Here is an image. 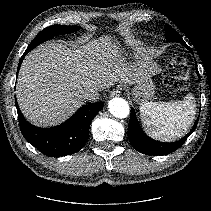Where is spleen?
Masks as SVG:
<instances>
[{
  "label": "spleen",
  "instance_id": "obj_1",
  "mask_svg": "<svg viewBox=\"0 0 211 211\" xmlns=\"http://www.w3.org/2000/svg\"><path fill=\"white\" fill-rule=\"evenodd\" d=\"M196 104L192 94L171 102H144L140 117L146 132L155 139L173 141L183 137L195 118Z\"/></svg>",
  "mask_w": 211,
  "mask_h": 211
}]
</instances>
